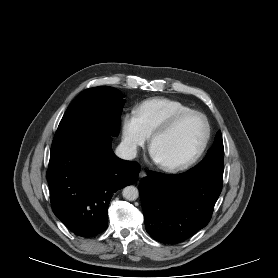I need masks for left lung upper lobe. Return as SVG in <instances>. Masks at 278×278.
<instances>
[{
  "mask_svg": "<svg viewBox=\"0 0 278 278\" xmlns=\"http://www.w3.org/2000/svg\"><path fill=\"white\" fill-rule=\"evenodd\" d=\"M188 172L223 177V140L221 131L217 132L215 141L205 158Z\"/></svg>",
  "mask_w": 278,
  "mask_h": 278,
  "instance_id": "left-lung-upper-lobe-1",
  "label": "left lung upper lobe"
}]
</instances>
